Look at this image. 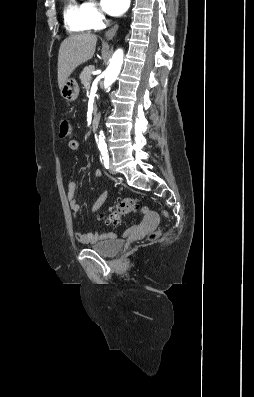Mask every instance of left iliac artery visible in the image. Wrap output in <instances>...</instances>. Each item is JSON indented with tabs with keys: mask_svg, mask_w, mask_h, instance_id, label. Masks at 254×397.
<instances>
[{
	"mask_svg": "<svg viewBox=\"0 0 254 397\" xmlns=\"http://www.w3.org/2000/svg\"><path fill=\"white\" fill-rule=\"evenodd\" d=\"M101 151V155H102V159H103V163L106 169L109 168V155H108V150L106 147H102L100 148Z\"/></svg>",
	"mask_w": 254,
	"mask_h": 397,
	"instance_id": "left-iliac-artery-1",
	"label": "left iliac artery"
}]
</instances>
